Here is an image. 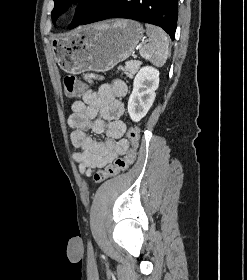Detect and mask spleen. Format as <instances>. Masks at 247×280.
<instances>
[{
	"label": "spleen",
	"mask_w": 247,
	"mask_h": 280,
	"mask_svg": "<svg viewBox=\"0 0 247 280\" xmlns=\"http://www.w3.org/2000/svg\"><path fill=\"white\" fill-rule=\"evenodd\" d=\"M146 32L149 43L140 49V55L161 67L165 64L169 56V39L163 29L154 25L146 24Z\"/></svg>",
	"instance_id": "spleen-1"
}]
</instances>
